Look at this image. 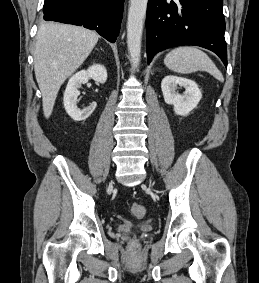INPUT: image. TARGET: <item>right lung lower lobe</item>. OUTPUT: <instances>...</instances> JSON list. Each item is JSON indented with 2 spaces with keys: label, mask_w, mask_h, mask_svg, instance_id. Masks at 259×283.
Returning a JSON list of instances; mask_svg holds the SVG:
<instances>
[{
  "label": "right lung lower lobe",
  "mask_w": 259,
  "mask_h": 283,
  "mask_svg": "<svg viewBox=\"0 0 259 283\" xmlns=\"http://www.w3.org/2000/svg\"><path fill=\"white\" fill-rule=\"evenodd\" d=\"M124 0H45L44 19L96 30L114 43L123 15Z\"/></svg>",
  "instance_id": "98d812e1"
}]
</instances>
